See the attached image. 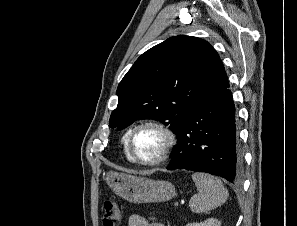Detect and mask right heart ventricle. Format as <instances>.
Returning a JSON list of instances; mask_svg holds the SVG:
<instances>
[{
    "instance_id": "obj_1",
    "label": "right heart ventricle",
    "mask_w": 297,
    "mask_h": 226,
    "mask_svg": "<svg viewBox=\"0 0 297 226\" xmlns=\"http://www.w3.org/2000/svg\"><path fill=\"white\" fill-rule=\"evenodd\" d=\"M128 133L129 132H126L125 135L123 136V143H124L125 155H126L127 159L131 160L128 153H127V149H126V139H127Z\"/></svg>"
}]
</instances>
